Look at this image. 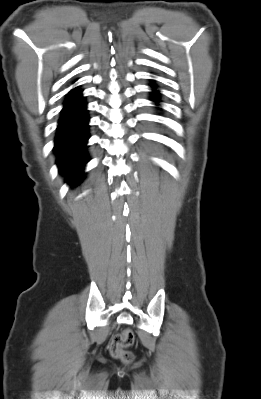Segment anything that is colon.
Wrapping results in <instances>:
<instances>
[{
    "instance_id": "obj_1",
    "label": "colon",
    "mask_w": 261,
    "mask_h": 399,
    "mask_svg": "<svg viewBox=\"0 0 261 399\" xmlns=\"http://www.w3.org/2000/svg\"><path fill=\"white\" fill-rule=\"evenodd\" d=\"M135 341L134 332L131 329H125L120 333L115 334L109 344L110 354L121 361L130 362L133 355L127 350Z\"/></svg>"
}]
</instances>
